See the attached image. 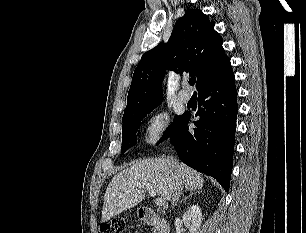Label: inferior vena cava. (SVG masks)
I'll return each mask as SVG.
<instances>
[{"label":"inferior vena cava","instance_id":"obj_1","mask_svg":"<svg viewBox=\"0 0 306 233\" xmlns=\"http://www.w3.org/2000/svg\"><path fill=\"white\" fill-rule=\"evenodd\" d=\"M170 160H171L172 162H175V161H176L173 157H171ZM181 192H182V185H181V184H178L177 189H176V191H175V193H174V196H173V198H172V201H171L173 207H174V205L177 203V201L179 200V197H180Z\"/></svg>","mask_w":306,"mask_h":233}]
</instances>
